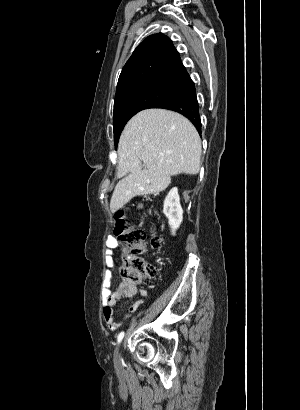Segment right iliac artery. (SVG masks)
Instances as JSON below:
<instances>
[{
	"label": "right iliac artery",
	"mask_w": 300,
	"mask_h": 410,
	"mask_svg": "<svg viewBox=\"0 0 300 410\" xmlns=\"http://www.w3.org/2000/svg\"><path fill=\"white\" fill-rule=\"evenodd\" d=\"M124 337V332L119 333L118 337H117V342L120 343L122 341Z\"/></svg>",
	"instance_id": "obj_1"
}]
</instances>
